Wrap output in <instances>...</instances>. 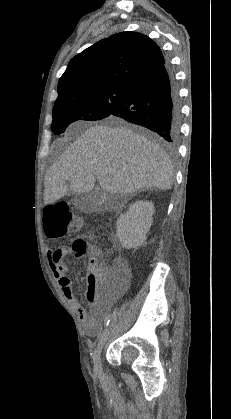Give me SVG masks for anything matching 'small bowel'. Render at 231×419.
I'll list each match as a JSON object with an SVG mask.
<instances>
[{"instance_id": "c3829d8e", "label": "small bowel", "mask_w": 231, "mask_h": 419, "mask_svg": "<svg viewBox=\"0 0 231 419\" xmlns=\"http://www.w3.org/2000/svg\"><path fill=\"white\" fill-rule=\"evenodd\" d=\"M69 254L68 247H60L58 249H49L47 258L49 267L52 271L54 278L58 281V285L65 296V298L74 307L78 318L82 322L84 332L90 337L96 336L100 329V321L94 317L89 316L86 309L83 307L80 299L73 293L72 281L68 277V266L65 262V257ZM127 281V277L118 281L117 285L122 287ZM98 287L91 288L87 278L86 298L90 304H94L97 298Z\"/></svg>"}]
</instances>
